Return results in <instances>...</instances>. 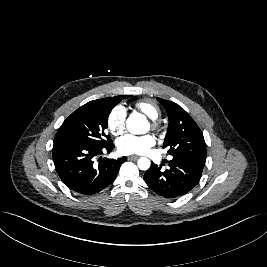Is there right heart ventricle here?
<instances>
[{"instance_id": "e07e8e85", "label": "right heart ventricle", "mask_w": 267, "mask_h": 267, "mask_svg": "<svg viewBox=\"0 0 267 267\" xmlns=\"http://www.w3.org/2000/svg\"><path fill=\"white\" fill-rule=\"evenodd\" d=\"M135 108L145 114L151 120H157L160 116L159 107L151 100L143 99L135 102Z\"/></svg>"}]
</instances>
